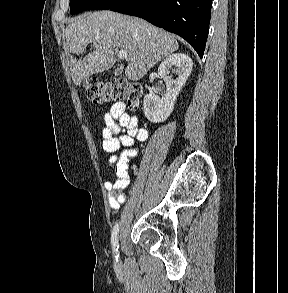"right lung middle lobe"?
<instances>
[{"instance_id": "1", "label": "right lung middle lobe", "mask_w": 288, "mask_h": 293, "mask_svg": "<svg viewBox=\"0 0 288 293\" xmlns=\"http://www.w3.org/2000/svg\"><path fill=\"white\" fill-rule=\"evenodd\" d=\"M122 0H70V13L77 14L84 10H107Z\"/></svg>"}]
</instances>
